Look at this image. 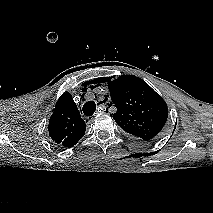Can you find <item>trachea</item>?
<instances>
[{
	"label": "trachea",
	"mask_w": 213,
	"mask_h": 213,
	"mask_svg": "<svg viewBox=\"0 0 213 213\" xmlns=\"http://www.w3.org/2000/svg\"><path fill=\"white\" fill-rule=\"evenodd\" d=\"M83 113L86 116H92L96 110V104L94 101H88L83 105Z\"/></svg>",
	"instance_id": "obj_1"
}]
</instances>
